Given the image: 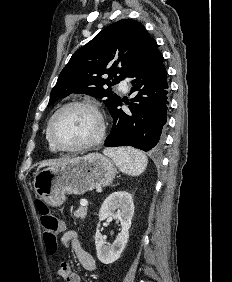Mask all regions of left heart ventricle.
Masks as SVG:
<instances>
[{
	"instance_id": "obj_1",
	"label": "left heart ventricle",
	"mask_w": 232,
	"mask_h": 282,
	"mask_svg": "<svg viewBox=\"0 0 232 282\" xmlns=\"http://www.w3.org/2000/svg\"><path fill=\"white\" fill-rule=\"evenodd\" d=\"M99 131L96 114L86 107H71L55 120L53 134L62 145L75 146L92 140Z\"/></svg>"
}]
</instances>
